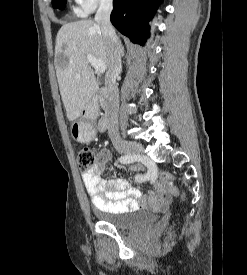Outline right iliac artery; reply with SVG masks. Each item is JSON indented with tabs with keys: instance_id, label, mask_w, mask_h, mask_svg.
I'll return each instance as SVG.
<instances>
[{
	"instance_id": "82829eb1",
	"label": "right iliac artery",
	"mask_w": 247,
	"mask_h": 275,
	"mask_svg": "<svg viewBox=\"0 0 247 275\" xmlns=\"http://www.w3.org/2000/svg\"><path fill=\"white\" fill-rule=\"evenodd\" d=\"M119 161L124 164H129L135 161L143 162V164H146L147 172L145 175H137L135 177V181L137 182H143L145 180H156L157 174H159L157 164H152V159L146 157L145 154H140V156L127 154L121 156L119 158Z\"/></svg>"
}]
</instances>
